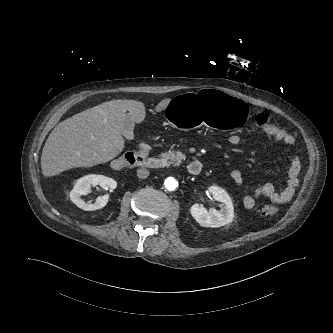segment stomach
I'll list each match as a JSON object with an SVG mask.
<instances>
[{
    "label": "stomach",
    "instance_id": "obj_1",
    "mask_svg": "<svg viewBox=\"0 0 333 333\" xmlns=\"http://www.w3.org/2000/svg\"><path fill=\"white\" fill-rule=\"evenodd\" d=\"M169 120L181 129L207 127L218 131H237L250 120L246 101L221 92L200 91L180 94L166 107Z\"/></svg>",
    "mask_w": 333,
    "mask_h": 333
}]
</instances>
